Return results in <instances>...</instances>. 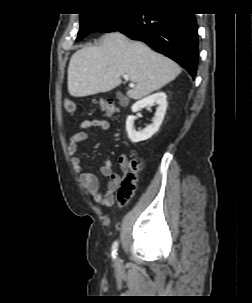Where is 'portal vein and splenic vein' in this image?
I'll return each mask as SVG.
<instances>
[{
    "label": "portal vein and splenic vein",
    "mask_w": 252,
    "mask_h": 303,
    "mask_svg": "<svg viewBox=\"0 0 252 303\" xmlns=\"http://www.w3.org/2000/svg\"><path fill=\"white\" fill-rule=\"evenodd\" d=\"M123 78H124L126 81H128V80H129V77H128L127 75H123ZM130 86H131V87H135V85H134V84H130Z\"/></svg>",
    "instance_id": "portal-vein-and-splenic-vein-1"
}]
</instances>
